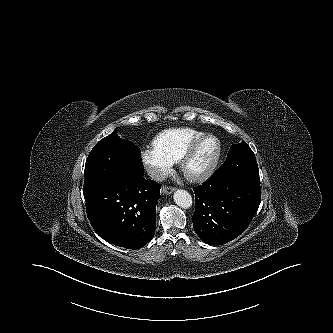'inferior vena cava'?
<instances>
[{
  "label": "inferior vena cava",
  "mask_w": 333,
  "mask_h": 333,
  "mask_svg": "<svg viewBox=\"0 0 333 333\" xmlns=\"http://www.w3.org/2000/svg\"><path fill=\"white\" fill-rule=\"evenodd\" d=\"M148 175L155 181H164L167 178V173L159 168L156 167H149L147 169Z\"/></svg>",
  "instance_id": "obj_1"
}]
</instances>
